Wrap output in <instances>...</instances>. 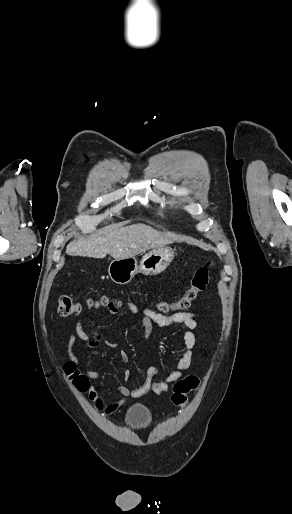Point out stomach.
Wrapping results in <instances>:
<instances>
[{
	"label": "stomach",
	"mask_w": 292,
	"mask_h": 514,
	"mask_svg": "<svg viewBox=\"0 0 292 514\" xmlns=\"http://www.w3.org/2000/svg\"><path fill=\"white\" fill-rule=\"evenodd\" d=\"M174 256L168 248H155L143 256L140 264L136 258H123V260H113L108 268V274L115 284H129L137 272L145 276H157L166 270Z\"/></svg>",
	"instance_id": "0dacf381"
}]
</instances>
